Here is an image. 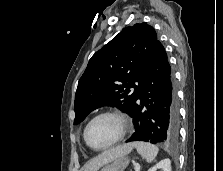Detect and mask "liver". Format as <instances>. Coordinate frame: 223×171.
I'll return each instance as SVG.
<instances>
[{"label":"liver","instance_id":"1","mask_svg":"<svg viewBox=\"0 0 223 171\" xmlns=\"http://www.w3.org/2000/svg\"><path fill=\"white\" fill-rule=\"evenodd\" d=\"M133 143L123 144L102 152L97 157L87 162L83 171H98L102 166L113 160L129 154L133 149Z\"/></svg>","mask_w":223,"mask_h":171}]
</instances>
